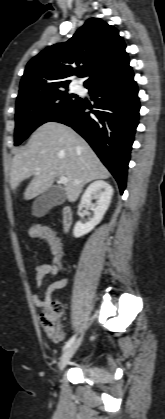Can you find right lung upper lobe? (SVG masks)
<instances>
[{
	"label": "right lung upper lobe",
	"mask_w": 165,
	"mask_h": 419,
	"mask_svg": "<svg viewBox=\"0 0 165 419\" xmlns=\"http://www.w3.org/2000/svg\"><path fill=\"white\" fill-rule=\"evenodd\" d=\"M125 48L118 30L91 18L67 42L50 46L29 61L17 101L40 92L67 88L69 76L83 72L88 77L84 86L88 87L129 62Z\"/></svg>",
	"instance_id": "cb5924a9"
}]
</instances>
